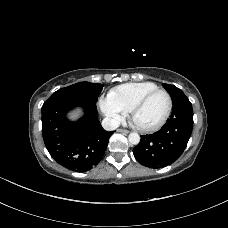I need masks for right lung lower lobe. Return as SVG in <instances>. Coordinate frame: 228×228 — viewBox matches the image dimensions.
Masks as SVG:
<instances>
[{
	"mask_svg": "<svg viewBox=\"0 0 228 228\" xmlns=\"http://www.w3.org/2000/svg\"><path fill=\"white\" fill-rule=\"evenodd\" d=\"M82 106L85 114L68 121L69 110ZM96 104L74 96L52 95L42 106V134L45 146L60 165L86 172L103 158L112 132L97 119Z\"/></svg>",
	"mask_w": 228,
	"mask_h": 228,
	"instance_id": "98d812e1",
	"label": "right lung lower lobe"
}]
</instances>
